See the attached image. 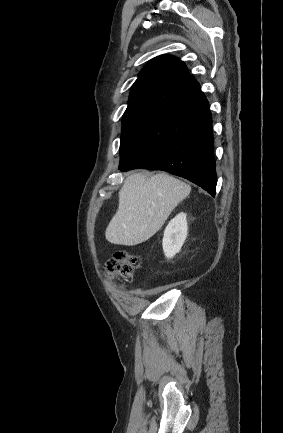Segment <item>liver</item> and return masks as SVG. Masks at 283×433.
Segmentation results:
<instances>
[{"mask_svg":"<svg viewBox=\"0 0 283 433\" xmlns=\"http://www.w3.org/2000/svg\"><path fill=\"white\" fill-rule=\"evenodd\" d=\"M191 186L159 172L146 178L143 172L130 174L119 190V204L105 237L113 245H139L153 237Z\"/></svg>","mask_w":283,"mask_h":433,"instance_id":"1","label":"liver"}]
</instances>
